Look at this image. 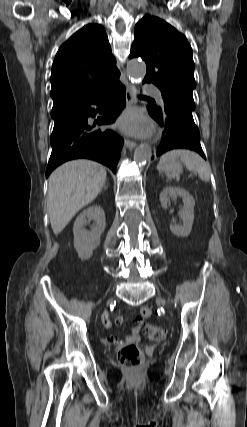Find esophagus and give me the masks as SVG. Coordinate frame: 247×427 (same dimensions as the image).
<instances>
[{
    "mask_svg": "<svg viewBox=\"0 0 247 427\" xmlns=\"http://www.w3.org/2000/svg\"><path fill=\"white\" fill-rule=\"evenodd\" d=\"M136 93H137V89L133 84H128L126 87V103L128 106H131L132 104L135 103L136 101ZM125 145L128 149H133L136 147V142L131 141L129 139H125Z\"/></svg>",
    "mask_w": 247,
    "mask_h": 427,
    "instance_id": "obj_1",
    "label": "esophagus"
}]
</instances>
